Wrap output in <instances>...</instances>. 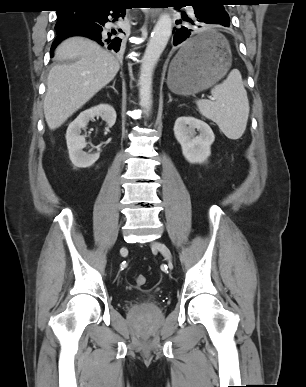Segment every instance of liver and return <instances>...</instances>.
Instances as JSON below:
<instances>
[{"label":"liver","mask_w":306,"mask_h":387,"mask_svg":"<svg viewBox=\"0 0 306 387\" xmlns=\"http://www.w3.org/2000/svg\"><path fill=\"white\" fill-rule=\"evenodd\" d=\"M47 78L44 115L48 127H60L73 113L110 83L119 71L116 58L96 42L70 37L58 45Z\"/></svg>","instance_id":"6515ba94"}]
</instances>
